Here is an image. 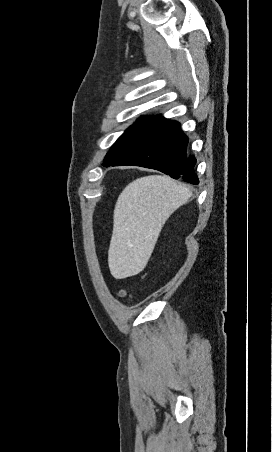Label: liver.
I'll return each mask as SVG.
<instances>
[{
	"label": "liver",
	"mask_w": 272,
	"mask_h": 452,
	"mask_svg": "<svg viewBox=\"0 0 272 452\" xmlns=\"http://www.w3.org/2000/svg\"><path fill=\"white\" fill-rule=\"evenodd\" d=\"M190 190L165 175H150L129 183L118 197L108 265L115 279L142 272L167 219L186 204Z\"/></svg>",
	"instance_id": "liver-1"
}]
</instances>
